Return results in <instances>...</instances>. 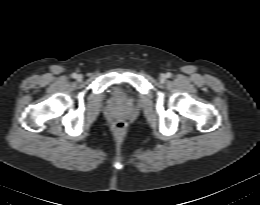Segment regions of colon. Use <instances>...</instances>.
I'll return each instance as SVG.
<instances>
[{
	"label": "colon",
	"instance_id": "colon-1",
	"mask_svg": "<svg viewBox=\"0 0 260 205\" xmlns=\"http://www.w3.org/2000/svg\"><path fill=\"white\" fill-rule=\"evenodd\" d=\"M115 129L119 132L123 131L125 129V123L121 121L117 122L115 124Z\"/></svg>",
	"mask_w": 260,
	"mask_h": 205
}]
</instances>
